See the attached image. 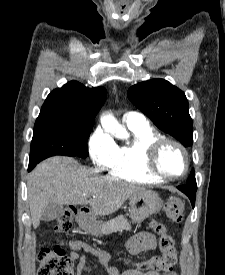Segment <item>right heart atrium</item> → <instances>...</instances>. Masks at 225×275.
<instances>
[{
    "label": "right heart atrium",
    "mask_w": 225,
    "mask_h": 275,
    "mask_svg": "<svg viewBox=\"0 0 225 275\" xmlns=\"http://www.w3.org/2000/svg\"><path fill=\"white\" fill-rule=\"evenodd\" d=\"M117 145L113 139L101 129H96L88 142V150L93 164L100 170L107 169L115 153Z\"/></svg>",
    "instance_id": "1"
}]
</instances>
